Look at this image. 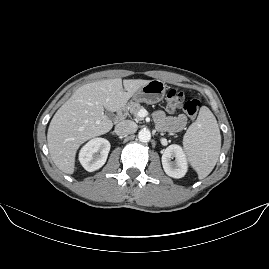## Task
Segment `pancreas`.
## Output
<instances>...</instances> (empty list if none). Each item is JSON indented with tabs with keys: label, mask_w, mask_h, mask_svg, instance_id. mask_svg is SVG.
Masks as SVG:
<instances>
[{
	"label": "pancreas",
	"mask_w": 269,
	"mask_h": 269,
	"mask_svg": "<svg viewBox=\"0 0 269 269\" xmlns=\"http://www.w3.org/2000/svg\"><path fill=\"white\" fill-rule=\"evenodd\" d=\"M127 109L129 110V112L131 114H133L136 118L140 119L139 116H138V112L141 110V109H144L143 106H141L139 103L137 102H131L129 104V106L127 107Z\"/></svg>",
	"instance_id": "pancreas-1"
}]
</instances>
